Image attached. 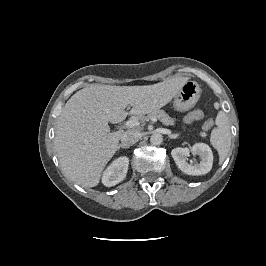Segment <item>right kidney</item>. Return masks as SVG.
<instances>
[{"mask_svg": "<svg viewBox=\"0 0 266 266\" xmlns=\"http://www.w3.org/2000/svg\"><path fill=\"white\" fill-rule=\"evenodd\" d=\"M129 159L126 156L119 157L103 173L102 183L107 187L120 183L127 174Z\"/></svg>", "mask_w": 266, "mask_h": 266, "instance_id": "1", "label": "right kidney"}]
</instances>
